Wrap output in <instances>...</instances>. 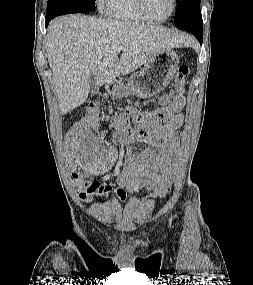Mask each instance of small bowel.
Segmentation results:
<instances>
[{
  "instance_id": "c3829d8e",
  "label": "small bowel",
  "mask_w": 253,
  "mask_h": 285,
  "mask_svg": "<svg viewBox=\"0 0 253 285\" xmlns=\"http://www.w3.org/2000/svg\"><path fill=\"white\" fill-rule=\"evenodd\" d=\"M184 105V96L173 93L163 97L150 111H143L136 103L126 112L135 119V127L113 126L115 145L124 153L123 169L117 177L120 186L133 193L146 190L158 198L170 193L174 182L171 156L176 152ZM112 121L108 110L103 109L100 122ZM139 144L147 148L138 152L135 145Z\"/></svg>"
}]
</instances>
